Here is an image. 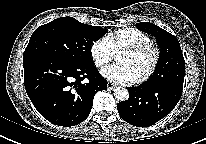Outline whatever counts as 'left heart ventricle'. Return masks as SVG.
Returning a JSON list of instances; mask_svg holds the SVG:
<instances>
[{
    "label": "left heart ventricle",
    "instance_id": "1",
    "mask_svg": "<svg viewBox=\"0 0 206 144\" xmlns=\"http://www.w3.org/2000/svg\"><path fill=\"white\" fill-rule=\"evenodd\" d=\"M118 62L125 63L133 70L136 78L143 75L148 69L151 62V53L146 51L139 54H130L121 51L117 57Z\"/></svg>",
    "mask_w": 206,
    "mask_h": 144
}]
</instances>
